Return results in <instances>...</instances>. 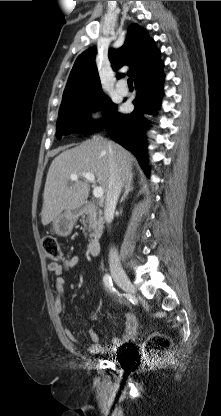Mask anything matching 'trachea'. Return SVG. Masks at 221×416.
Returning a JSON list of instances; mask_svg holds the SVG:
<instances>
[{
    "instance_id": "3493384b",
    "label": "trachea",
    "mask_w": 221,
    "mask_h": 416,
    "mask_svg": "<svg viewBox=\"0 0 221 416\" xmlns=\"http://www.w3.org/2000/svg\"><path fill=\"white\" fill-rule=\"evenodd\" d=\"M127 82H128V86H130V87L133 86V80H132V78H129Z\"/></svg>"
}]
</instances>
